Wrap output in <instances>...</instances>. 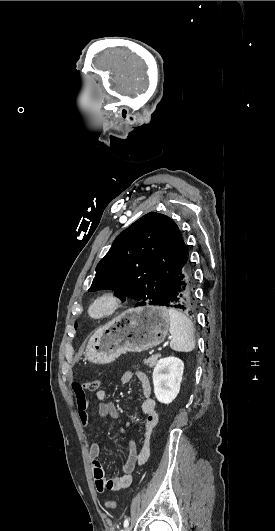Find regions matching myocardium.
<instances>
[{
    "mask_svg": "<svg viewBox=\"0 0 275 531\" xmlns=\"http://www.w3.org/2000/svg\"><path fill=\"white\" fill-rule=\"evenodd\" d=\"M121 306L120 297L114 292H104L89 301L86 315L92 321H100L113 315Z\"/></svg>",
    "mask_w": 275,
    "mask_h": 531,
    "instance_id": "myocardium-1",
    "label": "myocardium"
}]
</instances>
